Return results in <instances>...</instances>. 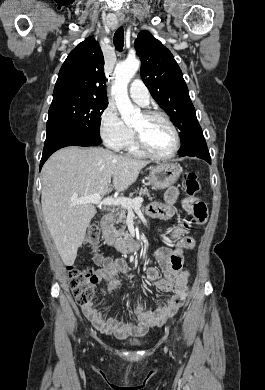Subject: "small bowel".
Here are the masks:
<instances>
[{"instance_id":"1","label":"small bowel","mask_w":265,"mask_h":390,"mask_svg":"<svg viewBox=\"0 0 265 390\" xmlns=\"http://www.w3.org/2000/svg\"><path fill=\"white\" fill-rule=\"evenodd\" d=\"M180 201L176 187L169 188L165 193L164 203H152L147 209L149 216L159 219H170L175 212V205ZM186 213L197 223H203L207 218V208L204 202L194 197L180 201ZM189 225L184 222L172 230L171 237H165L168 247H160L155 252V260L161 272L156 267H148L146 276L158 289L169 295L162 299L156 308L144 309L141 303L135 308V320H124L118 316H108L98 311L92 303L81 306L83 314L92 322L97 330L112 334L118 338L129 335H143L151 327L164 324L182 306L188 294L190 272L183 269V253L195 246V240L186 235ZM100 269L96 272L97 282L106 285L110 294L120 285V276L130 270L128 263L122 258L99 256L95 260Z\"/></svg>"}]
</instances>
